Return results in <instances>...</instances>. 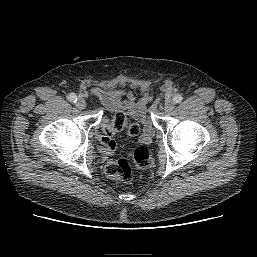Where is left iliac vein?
Listing matches in <instances>:
<instances>
[{
    "mask_svg": "<svg viewBox=\"0 0 257 257\" xmlns=\"http://www.w3.org/2000/svg\"><path fill=\"white\" fill-rule=\"evenodd\" d=\"M175 107V103L173 101H167L164 105V111L169 113L171 112Z\"/></svg>",
    "mask_w": 257,
    "mask_h": 257,
    "instance_id": "1",
    "label": "left iliac vein"
}]
</instances>
